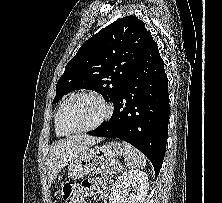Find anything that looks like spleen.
I'll return each mask as SVG.
<instances>
[{"label": "spleen", "instance_id": "spleen-1", "mask_svg": "<svg viewBox=\"0 0 222 203\" xmlns=\"http://www.w3.org/2000/svg\"><path fill=\"white\" fill-rule=\"evenodd\" d=\"M123 145L126 153V158H125L126 166L130 170L143 169L146 165L145 156L129 143L123 141Z\"/></svg>", "mask_w": 222, "mask_h": 203}]
</instances>
